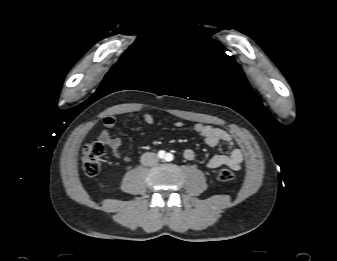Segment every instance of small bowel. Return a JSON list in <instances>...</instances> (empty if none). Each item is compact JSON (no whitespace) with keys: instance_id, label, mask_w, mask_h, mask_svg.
I'll return each instance as SVG.
<instances>
[{"instance_id":"obj_1","label":"small bowel","mask_w":337,"mask_h":261,"mask_svg":"<svg viewBox=\"0 0 337 261\" xmlns=\"http://www.w3.org/2000/svg\"><path fill=\"white\" fill-rule=\"evenodd\" d=\"M127 115L129 117H133L134 113L130 112ZM142 118L148 125H152L154 123V118L150 114H144ZM116 120V117L113 115L104 118V128L99 136V139L104 145L110 148L111 153L115 158L124 162H130L131 159L128 156H123L120 153L122 145L121 139L111 134L112 129L115 127ZM182 125L183 123L181 121H177L175 123L177 128L182 127ZM194 130L203 138L205 143L211 147H215L220 143H225L229 147V154L213 156L208 161V168L217 169L221 166H228L235 171L240 170L243 161V153L239 148L235 147V142L231 134L221 128L202 123L195 124ZM183 156L187 160H193L195 158V152L193 149L187 148L184 150Z\"/></svg>"}]
</instances>
